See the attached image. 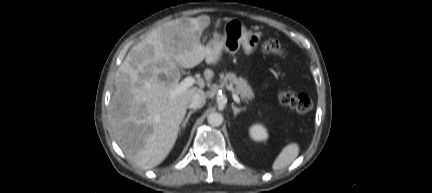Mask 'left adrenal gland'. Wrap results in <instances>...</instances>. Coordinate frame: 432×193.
<instances>
[{
  "instance_id": "obj_1",
  "label": "left adrenal gland",
  "mask_w": 432,
  "mask_h": 193,
  "mask_svg": "<svg viewBox=\"0 0 432 193\" xmlns=\"http://www.w3.org/2000/svg\"><path fill=\"white\" fill-rule=\"evenodd\" d=\"M231 107L234 113V117H236L240 112L245 111V107L237 108L234 104H232Z\"/></svg>"
}]
</instances>
